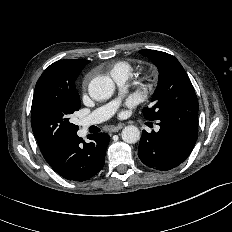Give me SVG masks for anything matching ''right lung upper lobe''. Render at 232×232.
<instances>
[{"instance_id": "1", "label": "right lung upper lobe", "mask_w": 232, "mask_h": 232, "mask_svg": "<svg viewBox=\"0 0 232 232\" xmlns=\"http://www.w3.org/2000/svg\"><path fill=\"white\" fill-rule=\"evenodd\" d=\"M88 62V60H81V59H65V60H60L57 61L53 64H51L47 70H52V69H65V68H69L72 67L73 65H77V64H83ZM59 148V147H58ZM58 148H55L52 151H44L41 150L45 160L49 163H51L56 155V152L58 150Z\"/></svg>"}]
</instances>
